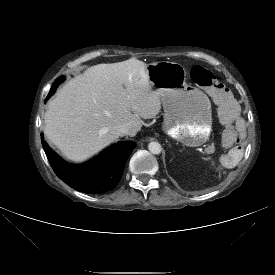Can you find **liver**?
<instances>
[{
	"label": "liver",
	"instance_id": "1",
	"mask_svg": "<svg viewBox=\"0 0 275 275\" xmlns=\"http://www.w3.org/2000/svg\"><path fill=\"white\" fill-rule=\"evenodd\" d=\"M160 110L146 63L131 58L99 64L67 82L49 102L44 133L68 159L83 161L117 139L111 133L117 124H129L135 136L140 118H154Z\"/></svg>",
	"mask_w": 275,
	"mask_h": 275
}]
</instances>
